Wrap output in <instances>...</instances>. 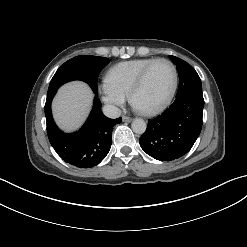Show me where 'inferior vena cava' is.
Returning a JSON list of instances; mask_svg holds the SVG:
<instances>
[{
    "instance_id": "inferior-vena-cava-1",
    "label": "inferior vena cava",
    "mask_w": 247,
    "mask_h": 247,
    "mask_svg": "<svg viewBox=\"0 0 247 247\" xmlns=\"http://www.w3.org/2000/svg\"><path fill=\"white\" fill-rule=\"evenodd\" d=\"M103 113L109 118H118L121 115V110L114 105H105Z\"/></svg>"
}]
</instances>
